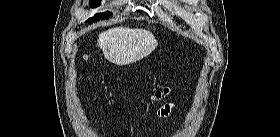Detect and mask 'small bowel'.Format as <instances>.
<instances>
[{
  "instance_id": "obj_1",
  "label": "small bowel",
  "mask_w": 280,
  "mask_h": 137,
  "mask_svg": "<svg viewBox=\"0 0 280 137\" xmlns=\"http://www.w3.org/2000/svg\"><path fill=\"white\" fill-rule=\"evenodd\" d=\"M171 106L170 105H166L165 107H163L162 109H160V111H158V116H166L169 112H170Z\"/></svg>"
}]
</instances>
